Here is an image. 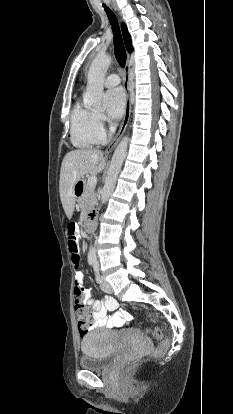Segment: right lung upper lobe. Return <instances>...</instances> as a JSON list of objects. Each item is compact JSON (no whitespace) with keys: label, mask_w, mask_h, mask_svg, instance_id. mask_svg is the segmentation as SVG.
<instances>
[{"label":"right lung upper lobe","mask_w":233,"mask_h":414,"mask_svg":"<svg viewBox=\"0 0 233 414\" xmlns=\"http://www.w3.org/2000/svg\"><path fill=\"white\" fill-rule=\"evenodd\" d=\"M121 29H122V34H123V38H124L127 51L131 53L133 51L132 41H131L130 34L128 33L127 27L124 23L121 24Z\"/></svg>","instance_id":"cb5924a9"}]
</instances>
